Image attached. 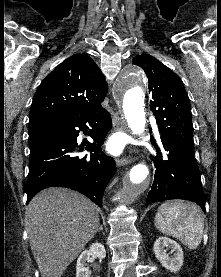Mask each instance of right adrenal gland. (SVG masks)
<instances>
[{
  "label": "right adrenal gland",
  "mask_w": 221,
  "mask_h": 277,
  "mask_svg": "<svg viewBox=\"0 0 221 277\" xmlns=\"http://www.w3.org/2000/svg\"><path fill=\"white\" fill-rule=\"evenodd\" d=\"M100 231H103L102 225H100L99 228H98V230H97V232H100Z\"/></svg>",
  "instance_id": "2a0ac1e0"
}]
</instances>
